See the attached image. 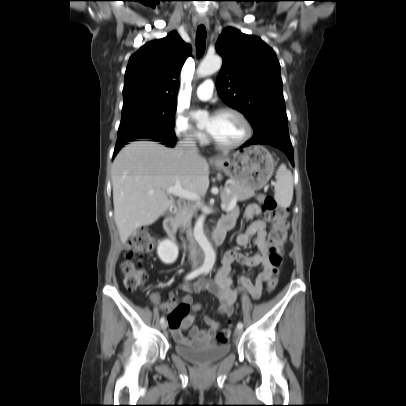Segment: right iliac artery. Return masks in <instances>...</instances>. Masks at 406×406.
Segmentation results:
<instances>
[{
	"mask_svg": "<svg viewBox=\"0 0 406 406\" xmlns=\"http://www.w3.org/2000/svg\"><path fill=\"white\" fill-rule=\"evenodd\" d=\"M205 270H206L205 268H198V269L192 271L191 273H189V274L185 277V279H186V280H191V279H193V278L199 276V275L202 274L203 272H205ZM164 321H165V318H164V316H162L161 319H160V323L162 324Z\"/></svg>",
	"mask_w": 406,
	"mask_h": 406,
	"instance_id": "82829eb1",
	"label": "right iliac artery"
}]
</instances>
